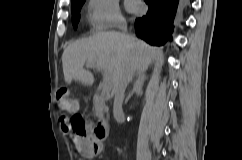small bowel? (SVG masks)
<instances>
[{
	"instance_id": "obj_1",
	"label": "small bowel",
	"mask_w": 242,
	"mask_h": 160,
	"mask_svg": "<svg viewBox=\"0 0 242 160\" xmlns=\"http://www.w3.org/2000/svg\"><path fill=\"white\" fill-rule=\"evenodd\" d=\"M63 127L66 129V125L64 123H63ZM73 141H74L77 152L81 156H83L85 158L90 157V156H88V151L91 148L90 143L92 141H94V138L91 133V127L88 123H87V129H86L85 135L82 137L73 136ZM100 149H101V145H100Z\"/></svg>"
}]
</instances>
